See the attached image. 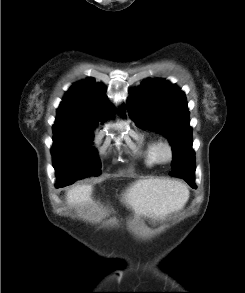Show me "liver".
<instances>
[{
    "label": "liver",
    "instance_id": "1",
    "mask_svg": "<svg viewBox=\"0 0 245 293\" xmlns=\"http://www.w3.org/2000/svg\"><path fill=\"white\" fill-rule=\"evenodd\" d=\"M92 186L77 185L67 191L69 204L91 201ZM189 198L188 189L178 181L169 179H143L134 182L124 194L125 203L140 216L165 217L181 210Z\"/></svg>",
    "mask_w": 245,
    "mask_h": 293
}]
</instances>
